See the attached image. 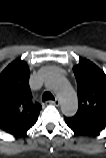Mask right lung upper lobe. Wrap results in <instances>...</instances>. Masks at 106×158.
Segmentation results:
<instances>
[{
    "instance_id": "obj_1",
    "label": "right lung upper lobe",
    "mask_w": 106,
    "mask_h": 158,
    "mask_svg": "<svg viewBox=\"0 0 106 158\" xmlns=\"http://www.w3.org/2000/svg\"><path fill=\"white\" fill-rule=\"evenodd\" d=\"M29 77L23 60L13 61L0 74V130L14 136L29 130L42 108L32 100Z\"/></svg>"
}]
</instances>
